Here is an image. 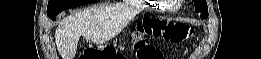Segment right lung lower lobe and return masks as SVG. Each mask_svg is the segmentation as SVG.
<instances>
[{
    "mask_svg": "<svg viewBox=\"0 0 261 59\" xmlns=\"http://www.w3.org/2000/svg\"><path fill=\"white\" fill-rule=\"evenodd\" d=\"M53 21H55V18H56V16H54V17H50Z\"/></svg>",
    "mask_w": 261,
    "mask_h": 59,
    "instance_id": "right-lung-lower-lobe-1",
    "label": "right lung lower lobe"
}]
</instances>
